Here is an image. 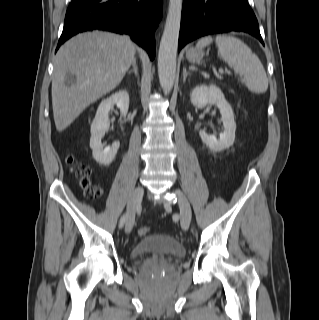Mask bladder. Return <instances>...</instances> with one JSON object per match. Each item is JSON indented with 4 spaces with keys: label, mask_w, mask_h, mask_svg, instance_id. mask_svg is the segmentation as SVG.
Listing matches in <instances>:
<instances>
[{
    "label": "bladder",
    "mask_w": 319,
    "mask_h": 320,
    "mask_svg": "<svg viewBox=\"0 0 319 320\" xmlns=\"http://www.w3.org/2000/svg\"><path fill=\"white\" fill-rule=\"evenodd\" d=\"M157 251L181 258L185 255V248L173 238L163 233H152L143 237L134 247L131 258L136 260L148 252Z\"/></svg>",
    "instance_id": "1"
}]
</instances>
